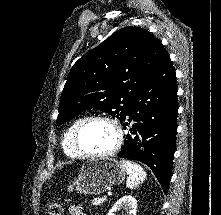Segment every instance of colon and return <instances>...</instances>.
<instances>
[{
  "instance_id": "colon-1",
  "label": "colon",
  "mask_w": 221,
  "mask_h": 215,
  "mask_svg": "<svg viewBox=\"0 0 221 215\" xmlns=\"http://www.w3.org/2000/svg\"><path fill=\"white\" fill-rule=\"evenodd\" d=\"M48 215H62L63 208L59 203H51L47 208Z\"/></svg>"
}]
</instances>
